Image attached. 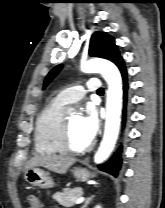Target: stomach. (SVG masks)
Returning a JSON list of instances; mask_svg holds the SVG:
<instances>
[{
  "mask_svg": "<svg viewBox=\"0 0 165 208\" xmlns=\"http://www.w3.org/2000/svg\"><path fill=\"white\" fill-rule=\"evenodd\" d=\"M72 173L74 177L81 182H85L89 178L94 177V175L89 171L79 167L72 169ZM24 179L28 184L39 187L41 189H49L54 186L53 179L49 173L38 167H31L25 170Z\"/></svg>",
  "mask_w": 165,
  "mask_h": 208,
  "instance_id": "stomach-1",
  "label": "stomach"
}]
</instances>
